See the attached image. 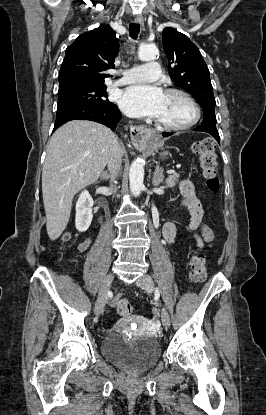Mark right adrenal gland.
I'll return each mask as SVG.
<instances>
[{
  "label": "right adrenal gland",
  "instance_id": "right-adrenal-gland-1",
  "mask_svg": "<svg viewBox=\"0 0 266 415\" xmlns=\"http://www.w3.org/2000/svg\"><path fill=\"white\" fill-rule=\"evenodd\" d=\"M109 177H110V175L105 171V172H103L101 175H100V178L102 179V180H108L109 179Z\"/></svg>",
  "mask_w": 266,
  "mask_h": 415
}]
</instances>
